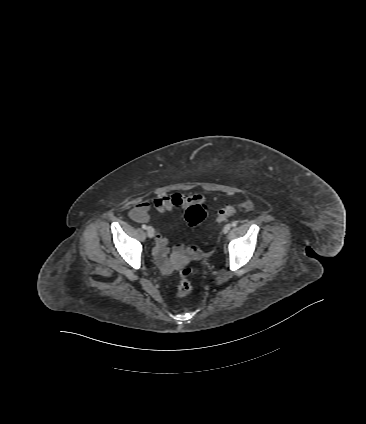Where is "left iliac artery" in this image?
<instances>
[{
  "label": "left iliac artery",
  "instance_id": "44dca946",
  "mask_svg": "<svg viewBox=\"0 0 366 424\" xmlns=\"http://www.w3.org/2000/svg\"><path fill=\"white\" fill-rule=\"evenodd\" d=\"M231 225H232L233 227H236V226H237V222H236V221H233V222L231 223Z\"/></svg>",
  "mask_w": 366,
  "mask_h": 424
}]
</instances>
